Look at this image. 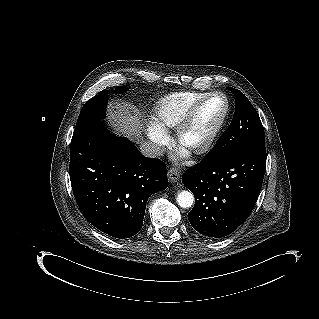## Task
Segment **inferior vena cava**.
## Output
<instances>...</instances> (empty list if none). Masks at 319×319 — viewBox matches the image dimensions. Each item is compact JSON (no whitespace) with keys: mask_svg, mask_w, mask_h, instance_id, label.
Segmentation results:
<instances>
[{"mask_svg":"<svg viewBox=\"0 0 319 319\" xmlns=\"http://www.w3.org/2000/svg\"><path fill=\"white\" fill-rule=\"evenodd\" d=\"M140 150L143 155L150 158L160 157L164 154V150L160 145L149 141L142 143Z\"/></svg>","mask_w":319,"mask_h":319,"instance_id":"602c4592","label":"inferior vena cava"}]
</instances>
